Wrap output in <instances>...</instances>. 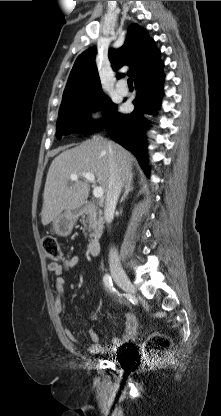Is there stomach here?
<instances>
[{"label":"stomach","mask_w":221,"mask_h":416,"mask_svg":"<svg viewBox=\"0 0 221 416\" xmlns=\"http://www.w3.org/2000/svg\"><path fill=\"white\" fill-rule=\"evenodd\" d=\"M77 217L78 212L65 211L52 221L53 231L59 236L67 237L71 234Z\"/></svg>","instance_id":"stomach-1"}]
</instances>
